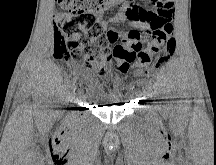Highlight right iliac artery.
I'll return each mask as SVG.
<instances>
[{"label": "right iliac artery", "mask_w": 216, "mask_h": 165, "mask_svg": "<svg viewBox=\"0 0 216 165\" xmlns=\"http://www.w3.org/2000/svg\"><path fill=\"white\" fill-rule=\"evenodd\" d=\"M73 86H74V82L71 80L69 82L67 92H66V97L68 98V100H73V95H71L72 90H73Z\"/></svg>", "instance_id": "82829eb1"}]
</instances>
